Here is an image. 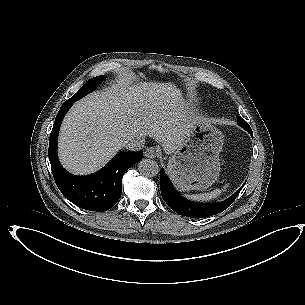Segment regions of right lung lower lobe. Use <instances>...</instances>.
Instances as JSON below:
<instances>
[{"mask_svg": "<svg viewBox=\"0 0 305 305\" xmlns=\"http://www.w3.org/2000/svg\"><path fill=\"white\" fill-rule=\"evenodd\" d=\"M73 103V100L68 99L62 105L50 134L48 154L53 176L62 194L72 203L90 211H107L121 197L124 173L142 160L143 152L117 154L105 167L88 176L68 173L57 157V138L64 115Z\"/></svg>", "mask_w": 305, "mask_h": 305, "instance_id": "98d812e1", "label": "right lung lower lobe"}]
</instances>
